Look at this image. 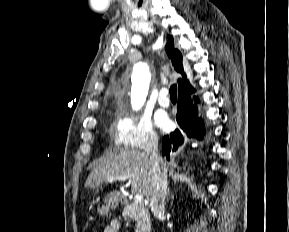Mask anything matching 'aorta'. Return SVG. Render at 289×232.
I'll use <instances>...</instances> for the list:
<instances>
[{"instance_id": "1", "label": "aorta", "mask_w": 289, "mask_h": 232, "mask_svg": "<svg viewBox=\"0 0 289 232\" xmlns=\"http://www.w3.org/2000/svg\"><path fill=\"white\" fill-rule=\"evenodd\" d=\"M150 73L146 64L139 63L134 67L133 73V98L134 107L140 108L147 97L150 83Z\"/></svg>"}]
</instances>
